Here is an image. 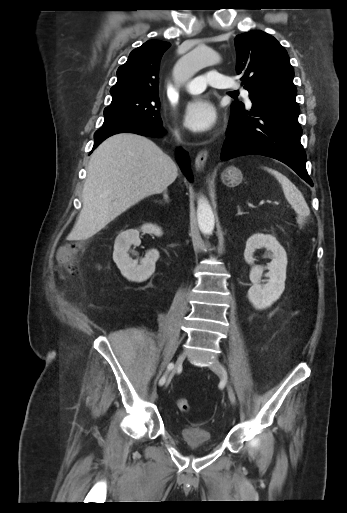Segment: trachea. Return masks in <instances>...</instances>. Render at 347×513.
<instances>
[{"label": "trachea", "instance_id": "trachea-1", "mask_svg": "<svg viewBox=\"0 0 347 513\" xmlns=\"http://www.w3.org/2000/svg\"><path fill=\"white\" fill-rule=\"evenodd\" d=\"M231 93H233V94H237V91H232Z\"/></svg>", "mask_w": 347, "mask_h": 513}]
</instances>
